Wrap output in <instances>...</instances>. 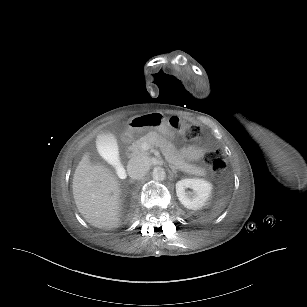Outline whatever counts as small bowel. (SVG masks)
I'll return each instance as SVG.
<instances>
[{
    "label": "small bowel",
    "instance_id": "c3829d8e",
    "mask_svg": "<svg viewBox=\"0 0 307 307\" xmlns=\"http://www.w3.org/2000/svg\"><path fill=\"white\" fill-rule=\"evenodd\" d=\"M189 151L193 157H200L204 153L205 148L203 146H191Z\"/></svg>",
    "mask_w": 307,
    "mask_h": 307
}]
</instances>
